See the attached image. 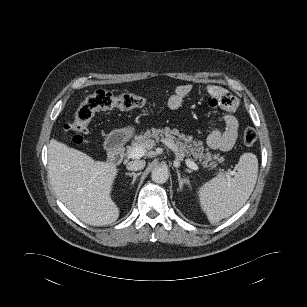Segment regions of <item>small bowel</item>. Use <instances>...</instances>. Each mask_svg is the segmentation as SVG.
I'll list each match as a JSON object with an SVG mask.
<instances>
[{
	"mask_svg": "<svg viewBox=\"0 0 307 307\" xmlns=\"http://www.w3.org/2000/svg\"><path fill=\"white\" fill-rule=\"evenodd\" d=\"M192 85H178L173 94L167 101L170 110L179 109L186 97L192 92ZM208 102L211 106H221L224 109L232 111L235 107V99L232 95L216 85L206 87ZM239 123L237 118L232 114L225 115L223 126L214 129L207 138L208 146L213 150L229 151L234 146L238 135Z\"/></svg>",
	"mask_w": 307,
	"mask_h": 307,
	"instance_id": "obj_1",
	"label": "small bowel"
}]
</instances>
